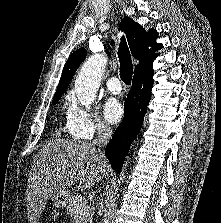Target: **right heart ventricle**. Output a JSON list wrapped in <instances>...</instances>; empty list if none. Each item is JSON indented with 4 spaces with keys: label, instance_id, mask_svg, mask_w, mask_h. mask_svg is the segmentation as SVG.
Wrapping results in <instances>:
<instances>
[{
    "label": "right heart ventricle",
    "instance_id": "obj_1",
    "mask_svg": "<svg viewBox=\"0 0 221 223\" xmlns=\"http://www.w3.org/2000/svg\"><path fill=\"white\" fill-rule=\"evenodd\" d=\"M62 134V128L60 127L59 131L57 132V135L60 136Z\"/></svg>",
    "mask_w": 221,
    "mask_h": 223
}]
</instances>
